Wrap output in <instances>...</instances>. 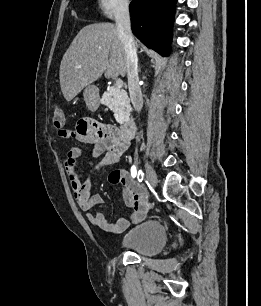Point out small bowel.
I'll return each mask as SVG.
<instances>
[{"label":"small bowel","mask_w":261,"mask_h":306,"mask_svg":"<svg viewBox=\"0 0 261 306\" xmlns=\"http://www.w3.org/2000/svg\"><path fill=\"white\" fill-rule=\"evenodd\" d=\"M64 139H74L82 143L93 145L92 156L100 160L89 164L91 173L101 168L114 165L121 161L130 145V139L121 136L119 130L111 125H106L91 119L80 120L74 129L64 130L60 135ZM82 149L72 147L64 159V167L70 181L73 196L78 206L86 212L87 219L103 232L116 235L125 231L130 224L142 220L146 214L145 199L138 189H134L130 176L126 171L117 170L123 177L122 181L111 184L122 186V196L130 213L128 217H120L109 221L103 213H92L91 210L102 202L97 194H92V182H82V173L77 166L78 159L82 156ZM114 172V171H113Z\"/></svg>","instance_id":"obj_1"}]
</instances>
